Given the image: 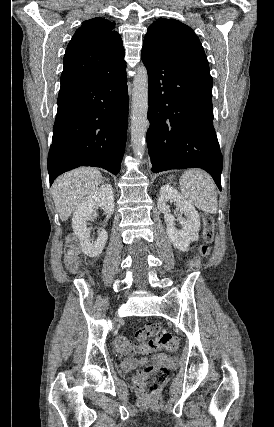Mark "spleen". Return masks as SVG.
Instances as JSON below:
<instances>
[{
  "mask_svg": "<svg viewBox=\"0 0 274 427\" xmlns=\"http://www.w3.org/2000/svg\"><path fill=\"white\" fill-rule=\"evenodd\" d=\"M181 194L189 204H193L202 212L216 214V186L209 174L202 170H186L180 178Z\"/></svg>",
  "mask_w": 274,
  "mask_h": 427,
  "instance_id": "3e777b00",
  "label": "spleen"
}]
</instances>
